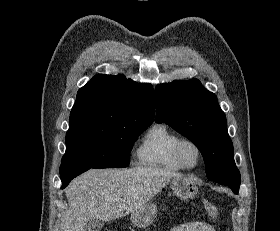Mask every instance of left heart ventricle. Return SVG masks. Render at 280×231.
Returning <instances> with one entry per match:
<instances>
[{
  "label": "left heart ventricle",
  "mask_w": 280,
  "mask_h": 231,
  "mask_svg": "<svg viewBox=\"0 0 280 231\" xmlns=\"http://www.w3.org/2000/svg\"><path fill=\"white\" fill-rule=\"evenodd\" d=\"M181 157L186 167L194 169L199 163V153L191 143H186L181 149Z\"/></svg>",
  "instance_id": "1"
}]
</instances>
